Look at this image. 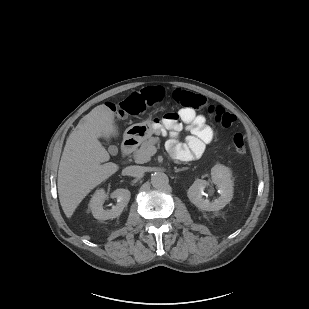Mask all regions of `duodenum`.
Returning a JSON list of instances; mask_svg holds the SVG:
<instances>
[{
	"label": "duodenum",
	"instance_id": "1",
	"mask_svg": "<svg viewBox=\"0 0 309 309\" xmlns=\"http://www.w3.org/2000/svg\"><path fill=\"white\" fill-rule=\"evenodd\" d=\"M137 142L133 137H127L121 146L122 155L130 154L136 147Z\"/></svg>",
	"mask_w": 309,
	"mask_h": 309
}]
</instances>
